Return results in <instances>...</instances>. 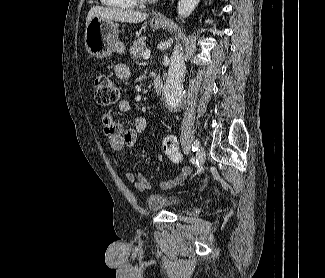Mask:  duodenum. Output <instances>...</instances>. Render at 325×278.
<instances>
[{
	"label": "duodenum",
	"mask_w": 325,
	"mask_h": 278,
	"mask_svg": "<svg viewBox=\"0 0 325 278\" xmlns=\"http://www.w3.org/2000/svg\"><path fill=\"white\" fill-rule=\"evenodd\" d=\"M152 83H153V87H154L155 92L158 95L161 94L162 88H163V82H162V79H161L159 74L154 73L152 75Z\"/></svg>",
	"instance_id": "410a0bca"
}]
</instances>
